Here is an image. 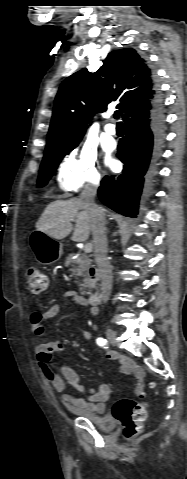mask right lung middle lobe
I'll list each match as a JSON object with an SVG mask.
<instances>
[{
  "mask_svg": "<svg viewBox=\"0 0 187 479\" xmlns=\"http://www.w3.org/2000/svg\"><path fill=\"white\" fill-rule=\"evenodd\" d=\"M77 144L78 143L69 147L54 148L45 151V156L43 158L39 171V178L37 183L38 186L43 187L47 184L48 180L55 172L60 161L65 157V155L72 151L77 146Z\"/></svg>",
  "mask_w": 187,
  "mask_h": 479,
  "instance_id": "right-lung-middle-lobe-1",
  "label": "right lung middle lobe"
}]
</instances>
